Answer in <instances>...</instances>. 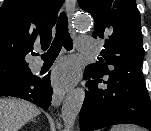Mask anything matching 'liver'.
Masks as SVG:
<instances>
[{
  "label": "liver",
  "mask_w": 151,
  "mask_h": 131,
  "mask_svg": "<svg viewBox=\"0 0 151 131\" xmlns=\"http://www.w3.org/2000/svg\"><path fill=\"white\" fill-rule=\"evenodd\" d=\"M40 110L30 102L9 98L0 99V131H19Z\"/></svg>",
  "instance_id": "1"
}]
</instances>
